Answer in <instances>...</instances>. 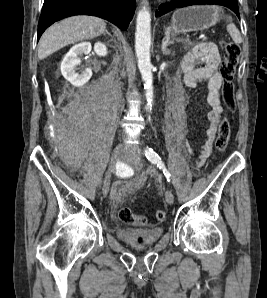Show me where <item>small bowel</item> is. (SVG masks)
<instances>
[{"mask_svg": "<svg viewBox=\"0 0 267 298\" xmlns=\"http://www.w3.org/2000/svg\"><path fill=\"white\" fill-rule=\"evenodd\" d=\"M203 63V66H197ZM220 54L214 43H202L197 45L192 52L187 53L182 61V71L186 86L194 88L199 82L206 81L208 84L207 104L210 107L208 113V125L206 138L200 148L198 165H203L212 153L213 141L217 132V126L221 120L223 107L220 101L219 91L221 88V75L218 72ZM178 113H181L178 108ZM134 182L132 186H136ZM125 190L122 191L124 193Z\"/></svg>", "mask_w": 267, "mask_h": 298, "instance_id": "c3829d8e", "label": "small bowel"}]
</instances>
